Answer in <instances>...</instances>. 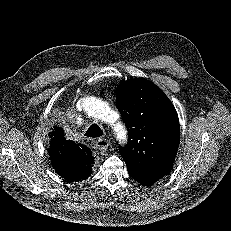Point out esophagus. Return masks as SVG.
<instances>
[{
  "label": "esophagus",
  "instance_id": "1",
  "mask_svg": "<svg viewBox=\"0 0 231 231\" xmlns=\"http://www.w3.org/2000/svg\"><path fill=\"white\" fill-rule=\"evenodd\" d=\"M110 145L108 139L100 138L95 142V148L100 151H105Z\"/></svg>",
  "mask_w": 231,
  "mask_h": 231
}]
</instances>
